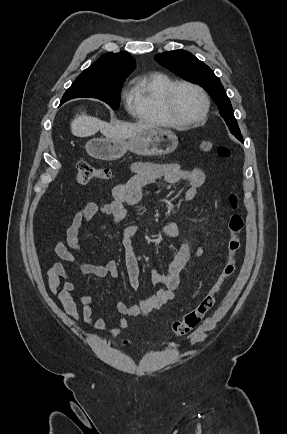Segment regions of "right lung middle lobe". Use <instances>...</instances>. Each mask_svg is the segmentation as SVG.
Masks as SVG:
<instances>
[{
	"mask_svg": "<svg viewBox=\"0 0 287 434\" xmlns=\"http://www.w3.org/2000/svg\"><path fill=\"white\" fill-rule=\"evenodd\" d=\"M124 81L78 77L67 89L60 104L73 98L91 97L102 100L112 109L117 110L120 106V92Z\"/></svg>",
	"mask_w": 287,
	"mask_h": 434,
	"instance_id": "obj_1",
	"label": "right lung middle lobe"
}]
</instances>
